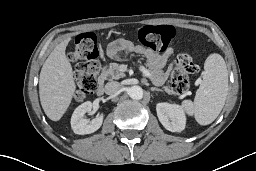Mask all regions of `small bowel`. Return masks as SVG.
<instances>
[{
	"instance_id": "1",
	"label": "small bowel",
	"mask_w": 256,
	"mask_h": 171,
	"mask_svg": "<svg viewBox=\"0 0 256 171\" xmlns=\"http://www.w3.org/2000/svg\"><path fill=\"white\" fill-rule=\"evenodd\" d=\"M129 53H141L145 56L148 65L153 74V82L155 85H162L167 79V72L163 70L168 58L171 56L172 51L168 50L163 54H157L149 49L140 46L128 45L126 47Z\"/></svg>"
}]
</instances>
